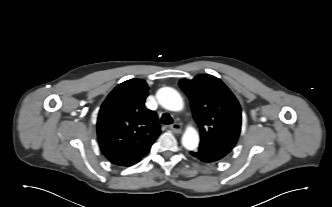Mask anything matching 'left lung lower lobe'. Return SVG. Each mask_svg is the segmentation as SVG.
Segmentation results:
<instances>
[{"label": "left lung lower lobe", "mask_w": 332, "mask_h": 207, "mask_svg": "<svg viewBox=\"0 0 332 207\" xmlns=\"http://www.w3.org/2000/svg\"><path fill=\"white\" fill-rule=\"evenodd\" d=\"M190 154L193 157H195L205 163L216 162V161L222 159L223 157H225V155H226V154L218 152L216 150L202 148V147H199L197 150L190 152Z\"/></svg>", "instance_id": "left-lung-lower-lobe-1"}]
</instances>
